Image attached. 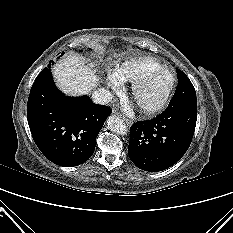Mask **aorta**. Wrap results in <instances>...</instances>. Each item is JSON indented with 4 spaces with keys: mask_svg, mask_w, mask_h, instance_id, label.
Instances as JSON below:
<instances>
[{
    "mask_svg": "<svg viewBox=\"0 0 233 233\" xmlns=\"http://www.w3.org/2000/svg\"><path fill=\"white\" fill-rule=\"evenodd\" d=\"M107 125L108 128L114 133L123 135L127 132V127L125 123L118 116H109V118L107 119Z\"/></svg>",
    "mask_w": 233,
    "mask_h": 233,
    "instance_id": "1",
    "label": "aorta"
}]
</instances>
